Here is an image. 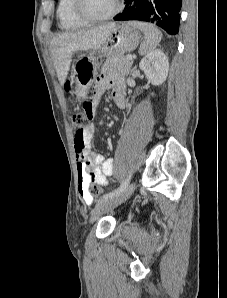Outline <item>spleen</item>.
Segmentation results:
<instances>
[{
  "instance_id": "spleen-1",
  "label": "spleen",
  "mask_w": 227,
  "mask_h": 298,
  "mask_svg": "<svg viewBox=\"0 0 227 298\" xmlns=\"http://www.w3.org/2000/svg\"><path fill=\"white\" fill-rule=\"evenodd\" d=\"M134 27L140 29L144 34V40L140 45L139 54L145 55L152 52L162 38V33L152 24L132 21L130 22Z\"/></svg>"
}]
</instances>
